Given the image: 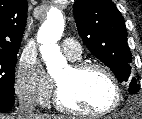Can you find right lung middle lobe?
<instances>
[{"mask_svg": "<svg viewBox=\"0 0 142 119\" xmlns=\"http://www.w3.org/2000/svg\"><path fill=\"white\" fill-rule=\"evenodd\" d=\"M16 52H0V95L14 99Z\"/></svg>", "mask_w": 142, "mask_h": 119, "instance_id": "dd1d6c3e", "label": "right lung middle lobe"}]
</instances>
